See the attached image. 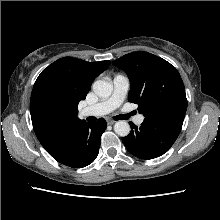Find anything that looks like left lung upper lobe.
Wrapping results in <instances>:
<instances>
[{"label":"left lung upper lobe","mask_w":220,"mask_h":220,"mask_svg":"<svg viewBox=\"0 0 220 220\" xmlns=\"http://www.w3.org/2000/svg\"><path fill=\"white\" fill-rule=\"evenodd\" d=\"M130 80L129 101L145 117L183 115L187 110L185 87L179 72L166 60L148 52L129 53L113 61Z\"/></svg>","instance_id":"obj_1"}]
</instances>
